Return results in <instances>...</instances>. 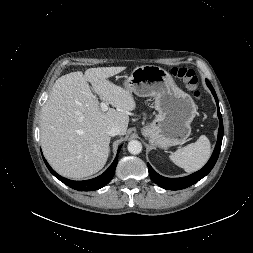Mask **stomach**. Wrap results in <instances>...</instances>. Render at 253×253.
<instances>
[{
    "label": "stomach",
    "mask_w": 253,
    "mask_h": 253,
    "mask_svg": "<svg viewBox=\"0 0 253 253\" xmlns=\"http://www.w3.org/2000/svg\"><path fill=\"white\" fill-rule=\"evenodd\" d=\"M125 89L140 97H155V119L142 129L149 142L160 148L180 145L191 134L197 107L192 97L181 90L162 67H136L124 81Z\"/></svg>",
    "instance_id": "obj_1"
}]
</instances>
